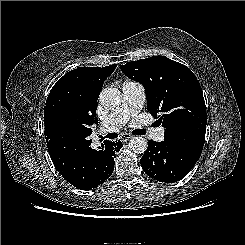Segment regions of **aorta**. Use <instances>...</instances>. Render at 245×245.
<instances>
[{"instance_id":"obj_1","label":"aorta","mask_w":245,"mask_h":245,"mask_svg":"<svg viewBox=\"0 0 245 245\" xmlns=\"http://www.w3.org/2000/svg\"><path fill=\"white\" fill-rule=\"evenodd\" d=\"M99 101L104 107L114 109L120 106L122 94L117 88L108 87L101 91ZM147 146V140L142 136H135L129 141V148L134 153H144Z\"/></svg>"}]
</instances>
